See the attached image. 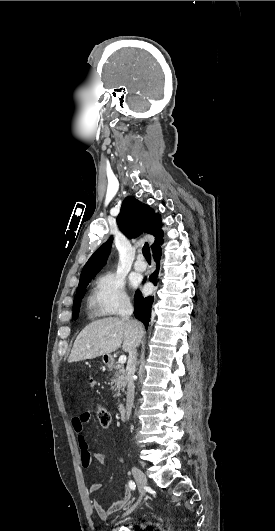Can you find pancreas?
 <instances>
[{
	"label": "pancreas",
	"mask_w": 275,
	"mask_h": 531,
	"mask_svg": "<svg viewBox=\"0 0 275 531\" xmlns=\"http://www.w3.org/2000/svg\"><path fill=\"white\" fill-rule=\"evenodd\" d=\"M110 371L113 373L111 381V389L115 391L113 397H120V391L126 387L128 383L127 373L124 369V365H117V363H112L108 365Z\"/></svg>",
	"instance_id": "obj_1"
}]
</instances>
